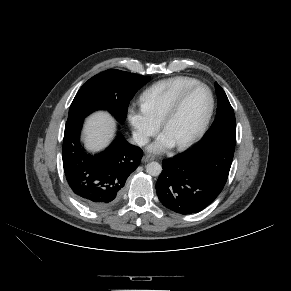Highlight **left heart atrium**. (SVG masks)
Wrapping results in <instances>:
<instances>
[{"label": "left heart atrium", "mask_w": 291, "mask_h": 291, "mask_svg": "<svg viewBox=\"0 0 291 291\" xmlns=\"http://www.w3.org/2000/svg\"><path fill=\"white\" fill-rule=\"evenodd\" d=\"M175 146L174 141L166 134L163 133L159 138L149 147V150L152 152H163L169 148Z\"/></svg>", "instance_id": "obj_1"}]
</instances>
